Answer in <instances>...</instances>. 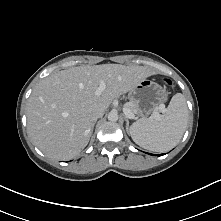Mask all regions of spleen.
I'll list each match as a JSON object with an SVG mask.
<instances>
[{
	"label": "spleen",
	"instance_id": "spleen-1",
	"mask_svg": "<svg viewBox=\"0 0 221 221\" xmlns=\"http://www.w3.org/2000/svg\"><path fill=\"white\" fill-rule=\"evenodd\" d=\"M188 121V108L185 97L175 94L161 119L141 118L130 127L129 134L140 147L166 152L181 140Z\"/></svg>",
	"mask_w": 221,
	"mask_h": 221
}]
</instances>
